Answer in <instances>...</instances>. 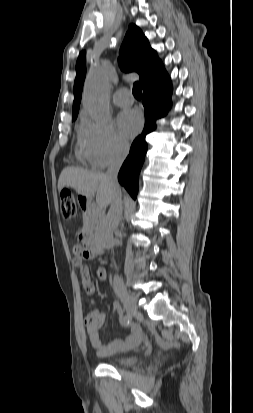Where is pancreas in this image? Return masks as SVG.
Segmentation results:
<instances>
[{
	"mask_svg": "<svg viewBox=\"0 0 253 413\" xmlns=\"http://www.w3.org/2000/svg\"><path fill=\"white\" fill-rule=\"evenodd\" d=\"M102 215L100 212L97 211H87L85 217H84V225H94V226H98L100 221H101Z\"/></svg>",
	"mask_w": 253,
	"mask_h": 413,
	"instance_id": "1",
	"label": "pancreas"
}]
</instances>
